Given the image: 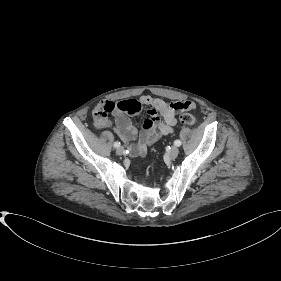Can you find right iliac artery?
I'll return each mask as SVG.
<instances>
[{
    "mask_svg": "<svg viewBox=\"0 0 281 281\" xmlns=\"http://www.w3.org/2000/svg\"><path fill=\"white\" fill-rule=\"evenodd\" d=\"M114 147H115V148L120 147V142H115V143H114Z\"/></svg>",
    "mask_w": 281,
    "mask_h": 281,
    "instance_id": "1",
    "label": "right iliac artery"
}]
</instances>
